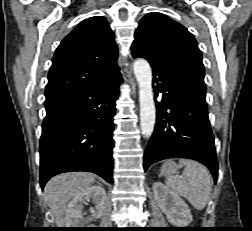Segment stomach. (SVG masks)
<instances>
[{"mask_svg":"<svg viewBox=\"0 0 252 231\" xmlns=\"http://www.w3.org/2000/svg\"><path fill=\"white\" fill-rule=\"evenodd\" d=\"M179 165L175 162L169 160L165 162L161 168V174L163 175H172L177 172Z\"/></svg>","mask_w":252,"mask_h":231,"instance_id":"0dacf381","label":"stomach"}]
</instances>
